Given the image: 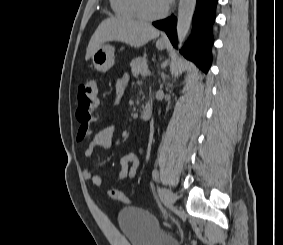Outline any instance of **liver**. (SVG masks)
Returning <instances> with one entry per match:
<instances>
[{
  "label": "liver",
  "instance_id": "obj_1",
  "mask_svg": "<svg viewBox=\"0 0 283 245\" xmlns=\"http://www.w3.org/2000/svg\"><path fill=\"white\" fill-rule=\"evenodd\" d=\"M159 34L160 32L148 23L126 18H108L98 26L91 37L85 60H89L105 42L118 41L139 48L158 37Z\"/></svg>",
  "mask_w": 283,
  "mask_h": 245
}]
</instances>
